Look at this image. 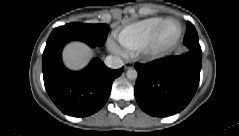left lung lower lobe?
<instances>
[{"label": "left lung lower lobe", "instance_id": "0a47b994", "mask_svg": "<svg viewBox=\"0 0 239 136\" xmlns=\"http://www.w3.org/2000/svg\"><path fill=\"white\" fill-rule=\"evenodd\" d=\"M202 53L189 51L150 64L135 63V98L147 114L166 117L183 110L195 95Z\"/></svg>", "mask_w": 239, "mask_h": 136}]
</instances>
